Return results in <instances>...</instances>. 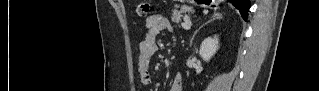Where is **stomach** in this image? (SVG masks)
<instances>
[{"label":"stomach","mask_w":319,"mask_h":91,"mask_svg":"<svg viewBox=\"0 0 319 91\" xmlns=\"http://www.w3.org/2000/svg\"><path fill=\"white\" fill-rule=\"evenodd\" d=\"M211 3V1H200V4H202L203 6L209 5Z\"/></svg>","instance_id":"1"}]
</instances>
